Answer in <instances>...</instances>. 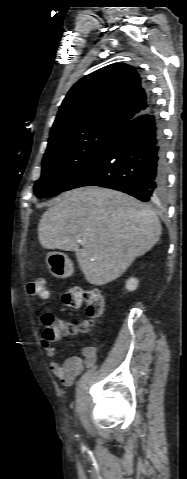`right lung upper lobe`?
<instances>
[{
  "instance_id": "obj_1",
  "label": "right lung upper lobe",
  "mask_w": 187,
  "mask_h": 479,
  "mask_svg": "<svg viewBox=\"0 0 187 479\" xmlns=\"http://www.w3.org/2000/svg\"><path fill=\"white\" fill-rule=\"evenodd\" d=\"M152 109L136 69L124 63L103 67L79 80L58 111L50 139L73 129L110 125L123 129Z\"/></svg>"
}]
</instances>
